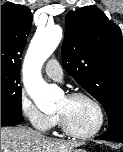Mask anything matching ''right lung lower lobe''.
<instances>
[{"mask_svg":"<svg viewBox=\"0 0 123 152\" xmlns=\"http://www.w3.org/2000/svg\"><path fill=\"white\" fill-rule=\"evenodd\" d=\"M23 120L21 114L1 111V126H9Z\"/></svg>","mask_w":123,"mask_h":152,"instance_id":"1","label":"right lung lower lobe"}]
</instances>
